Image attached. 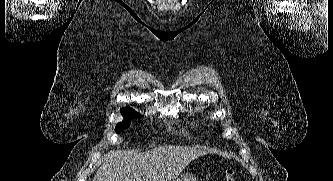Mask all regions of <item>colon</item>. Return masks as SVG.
Returning <instances> with one entry per match:
<instances>
[{"instance_id": "colon-1", "label": "colon", "mask_w": 333, "mask_h": 181, "mask_svg": "<svg viewBox=\"0 0 333 181\" xmlns=\"http://www.w3.org/2000/svg\"><path fill=\"white\" fill-rule=\"evenodd\" d=\"M224 181H237L235 173L232 170H226Z\"/></svg>"}]
</instances>
